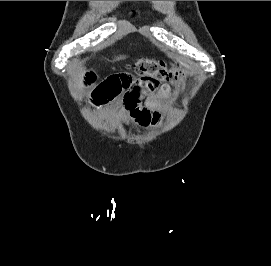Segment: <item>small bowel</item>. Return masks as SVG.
Here are the masks:
<instances>
[{
  "mask_svg": "<svg viewBox=\"0 0 271 266\" xmlns=\"http://www.w3.org/2000/svg\"><path fill=\"white\" fill-rule=\"evenodd\" d=\"M81 85L91 89L89 102L94 107L112 104L109 111L117 119L139 128L156 125L162 116L160 98L169 88L155 77L134 78L128 72H119L99 80L97 74L88 70L81 76ZM121 101L114 102L122 93Z\"/></svg>",
  "mask_w": 271,
  "mask_h": 266,
  "instance_id": "small-bowel-1",
  "label": "small bowel"
}]
</instances>
